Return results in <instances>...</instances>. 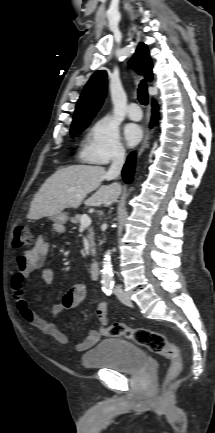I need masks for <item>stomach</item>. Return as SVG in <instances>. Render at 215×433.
Segmentation results:
<instances>
[{
  "label": "stomach",
  "mask_w": 215,
  "mask_h": 433,
  "mask_svg": "<svg viewBox=\"0 0 215 433\" xmlns=\"http://www.w3.org/2000/svg\"><path fill=\"white\" fill-rule=\"evenodd\" d=\"M52 220L59 224H65L68 220V215L65 212H60L59 214L52 216Z\"/></svg>",
  "instance_id": "obj_1"
}]
</instances>
